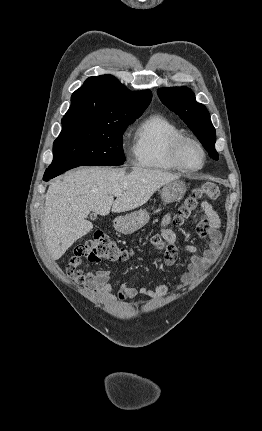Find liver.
<instances>
[{
	"instance_id": "6515ba94",
	"label": "liver",
	"mask_w": 262,
	"mask_h": 431,
	"mask_svg": "<svg viewBox=\"0 0 262 431\" xmlns=\"http://www.w3.org/2000/svg\"><path fill=\"white\" fill-rule=\"evenodd\" d=\"M178 174L132 167L130 172L108 167H84L52 182L46 193L43 218L45 244L54 260L61 258L79 238L91 231V211L102 216L144 205L160 187ZM122 194L114 200L113 192Z\"/></svg>"
}]
</instances>
